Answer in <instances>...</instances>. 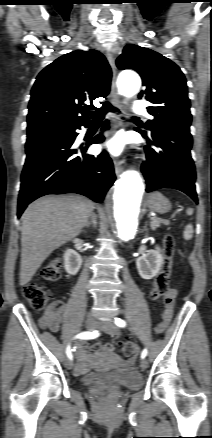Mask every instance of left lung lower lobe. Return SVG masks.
I'll return each instance as SVG.
<instances>
[{
	"label": "left lung lower lobe",
	"instance_id": "0a47b994",
	"mask_svg": "<svg viewBox=\"0 0 212 438\" xmlns=\"http://www.w3.org/2000/svg\"><path fill=\"white\" fill-rule=\"evenodd\" d=\"M148 141L143 131H138ZM153 142L158 150L145 146L146 161L142 165L147 192L160 188L183 191L197 202L195 166L191 158L192 136L186 127H153Z\"/></svg>",
	"mask_w": 212,
	"mask_h": 438
}]
</instances>
